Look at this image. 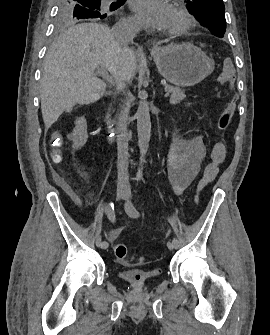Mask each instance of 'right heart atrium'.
<instances>
[{"label":"right heart atrium","instance_id":"d8ad5b80","mask_svg":"<svg viewBox=\"0 0 270 335\" xmlns=\"http://www.w3.org/2000/svg\"><path fill=\"white\" fill-rule=\"evenodd\" d=\"M117 25H139V24L134 16H129L122 19Z\"/></svg>","mask_w":270,"mask_h":335}]
</instances>
